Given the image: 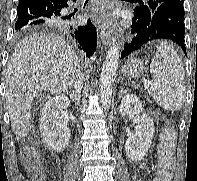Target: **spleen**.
<instances>
[{"label": "spleen", "instance_id": "1", "mask_svg": "<svg viewBox=\"0 0 197 181\" xmlns=\"http://www.w3.org/2000/svg\"><path fill=\"white\" fill-rule=\"evenodd\" d=\"M150 94L166 110L176 111L185 102L184 69L177 51L167 41L156 46L150 64Z\"/></svg>", "mask_w": 197, "mask_h": 181}]
</instances>
